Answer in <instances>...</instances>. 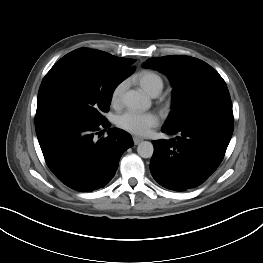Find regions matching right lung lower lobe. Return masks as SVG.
<instances>
[{"instance_id":"1","label":"right lung lower lobe","mask_w":263,"mask_h":263,"mask_svg":"<svg viewBox=\"0 0 263 263\" xmlns=\"http://www.w3.org/2000/svg\"><path fill=\"white\" fill-rule=\"evenodd\" d=\"M102 123L53 120L36 126L45 161L66 186L80 192L103 188L115 175L122 154L134 145L129 133L109 128L106 138L96 139Z\"/></svg>"}]
</instances>
